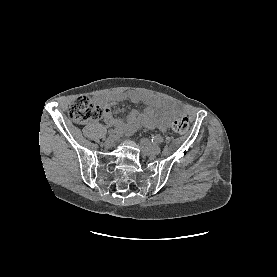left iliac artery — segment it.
I'll return each mask as SVG.
<instances>
[{
	"mask_svg": "<svg viewBox=\"0 0 277 277\" xmlns=\"http://www.w3.org/2000/svg\"><path fill=\"white\" fill-rule=\"evenodd\" d=\"M152 141L162 143L164 141V139L160 135H155L152 137Z\"/></svg>",
	"mask_w": 277,
	"mask_h": 277,
	"instance_id": "left-iliac-artery-1",
	"label": "left iliac artery"
}]
</instances>
